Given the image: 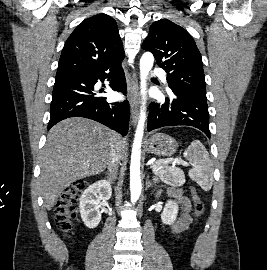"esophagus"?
Listing matches in <instances>:
<instances>
[{"label":"esophagus","mask_w":267,"mask_h":270,"mask_svg":"<svg viewBox=\"0 0 267 270\" xmlns=\"http://www.w3.org/2000/svg\"><path fill=\"white\" fill-rule=\"evenodd\" d=\"M127 89L132 115V122L135 125L138 119V107H139V86L136 73L133 74L131 81L128 83Z\"/></svg>","instance_id":"esophagus-1"}]
</instances>
